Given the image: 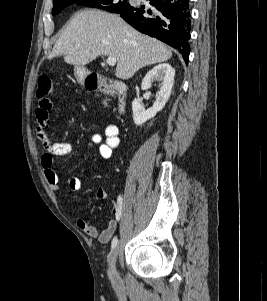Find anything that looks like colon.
Here are the masks:
<instances>
[{
    "label": "colon",
    "instance_id": "obj_1",
    "mask_svg": "<svg viewBox=\"0 0 267 301\" xmlns=\"http://www.w3.org/2000/svg\"><path fill=\"white\" fill-rule=\"evenodd\" d=\"M37 97L48 98L53 93V82L47 76H41L38 79Z\"/></svg>",
    "mask_w": 267,
    "mask_h": 301
}]
</instances>
